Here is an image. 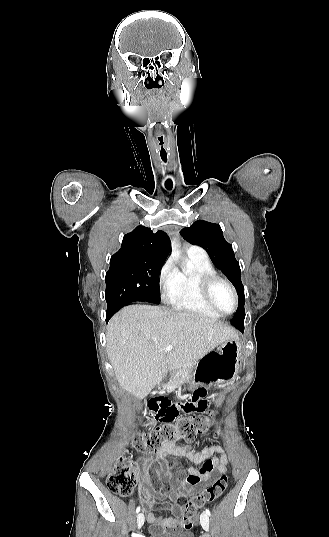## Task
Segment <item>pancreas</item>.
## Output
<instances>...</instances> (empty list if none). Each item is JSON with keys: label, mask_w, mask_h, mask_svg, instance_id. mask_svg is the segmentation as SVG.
I'll list each match as a JSON object with an SVG mask.
<instances>
[{"label": "pancreas", "mask_w": 329, "mask_h": 537, "mask_svg": "<svg viewBox=\"0 0 329 537\" xmlns=\"http://www.w3.org/2000/svg\"><path fill=\"white\" fill-rule=\"evenodd\" d=\"M193 370H194L193 365H188L185 368L175 370L171 374L169 382L167 384L163 385V388L164 389H173V388L181 385L183 382H185L188 379H190V377L192 376Z\"/></svg>", "instance_id": "pancreas-1"}]
</instances>
